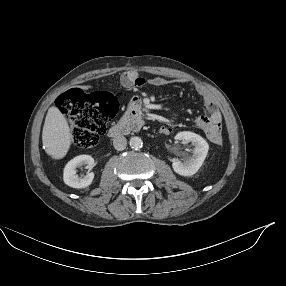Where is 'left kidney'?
<instances>
[{"label": "left kidney", "instance_id": "5707ae66", "mask_svg": "<svg viewBox=\"0 0 286 286\" xmlns=\"http://www.w3.org/2000/svg\"><path fill=\"white\" fill-rule=\"evenodd\" d=\"M175 139L191 142L194 146L193 155L184 162L174 160L172 163L173 170L181 176H191L195 174L202 166L209 149L208 143L198 134L184 131L179 132Z\"/></svg>", "mask_w": 286, "mask_h": 286}]
</instances>
